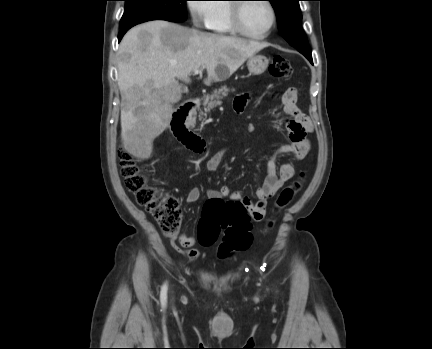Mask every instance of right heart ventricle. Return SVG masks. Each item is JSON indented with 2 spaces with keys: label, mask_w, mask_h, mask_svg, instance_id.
<instances>
[{
  "label": "right heart ventricle",
  "mask_w": 432,
  "mask_h": 349,
  "mask_svg": "<svg viewBox=\"0 0 432 349\" xmlns=\"http://www.w3.org/2000/svg\"><path fill=\"white\" fill-rule=\"evenodd\" d=\"M225 1L216 0L211 4V12L209 14L206 27L218 35H233L235 31L232 28L230 21V5Z\"/></svg>",
  "instance_id": "1"
}]
</instances>
